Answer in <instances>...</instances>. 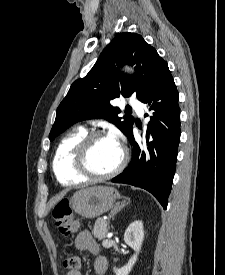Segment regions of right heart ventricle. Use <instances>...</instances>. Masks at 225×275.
I'll use <instances>...</instances> for the list:
<instances>
[{
	"instance_id": "1",
	"label": "right heart ventricle",
	"mask_w": 225,
	"mask_h": 275,
	"mask_svg": "<svg viewBox=\"0 0 225 275\" xmlns=\"http://www.w3.org/2000/svg\"><path fill=\"white\" fill-rule=\"evenodd\" d=\"M86 133L85 128L78 127L65 135L57 146L53 171L58 182L63 185H75L85 181L74 171L72 159L75 146Z\"/></svg>"
}]
</instances>
